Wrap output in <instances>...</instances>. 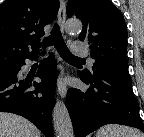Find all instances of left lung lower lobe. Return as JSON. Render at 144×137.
I'll return each instance as SVG.
<instances>
[{
	"instance_id": "left-lung-lower-lobe-1",
	"label": "left lung lower lobe",
	"mask_w": 144,
	"mask_h": 137,
	"mask_svg": "<svg viewBox=\"0 0 144 137\" xmlns=\"http://www.w3.org/2000/svg\"><path fill=\"white\" fill-rule=\"evenodd\" d=\"M90 85L87 91L69 89L67 108L75 137H85L106 124L132 126L144 132L139 105L132 91V80L108 72H97L91 78L78 72Z\"/></svg>"
}]
</instances>
